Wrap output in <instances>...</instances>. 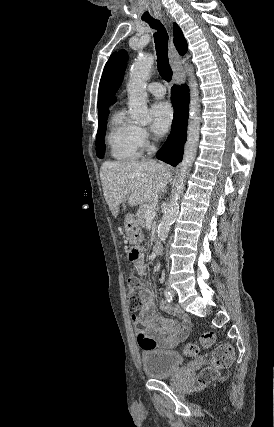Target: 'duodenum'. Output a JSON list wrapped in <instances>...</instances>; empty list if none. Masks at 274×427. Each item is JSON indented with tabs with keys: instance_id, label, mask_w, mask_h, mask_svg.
<instances>
[{
	"instance_id": "obj_1",
	"label": "duodenum",
	"mask_w": 274,
	"mask_h": 427,
	"mask_svg": "<svg viewBox=\"0 0 274 427\" xmlns=\"http://www.w3.org/2000/svg\"><path fill=\"white\" fill-rule=\"evenodd\" d=\"M160 252H161V245L160 244L155 245L153 248L154 255H158L160 254Z\"/></svg>"
}]
</instances>
